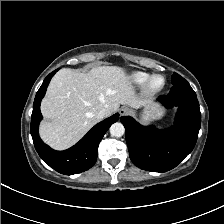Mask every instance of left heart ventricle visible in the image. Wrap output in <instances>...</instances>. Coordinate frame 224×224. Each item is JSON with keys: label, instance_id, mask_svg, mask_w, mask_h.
<instances>
[{"label": "left heart ventricle", "instance_id": "obj_1", "mask_svg": "<svg viewBox=\"0 0 224 224\" xmlns=\"http://www.w3.org/2000/svg\"><path fill=\"white\" fill-rule=\"evenodd\" d=\"M163 84V78L162 77H156L153 81H152V86L154 88H158Z\"/></svg>", "mask_w": 224, "mask_h": 224}]
</instances>
